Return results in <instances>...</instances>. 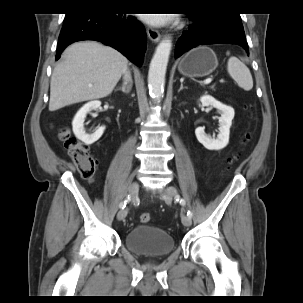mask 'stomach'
I'll list each match as a JSON object with an SVG mask.
<instances>
[{"instance_id":"1","label":"stomach","mask_w":303,"mask_h":303,"mask_svg":"<svg viewBox=\"0 0 303 303\" xmlns=\"http://www.w3.org/2000/svg\"><path fill=\"white\" fill-rule=\"evenodd\" d=\"M218 66L215 53L207 46H199L189 51L179 62V72L187 77H204Z\"/></svg>"}]
</instances>
